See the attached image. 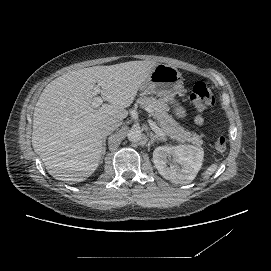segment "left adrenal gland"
<instances>
[{
  "label": "left adrenal gland",
  "mask_w": 271,
  "mask_h": 271,
  "mask_svg": "<svg viewBox=\"0 0 271 271\" xmlns=\"http://www.w3.org/2000/svg\"><path fill=\"white\" fill-rule=\"evenodd\" d=\"M165 139L162 137H158L157 135H154L152 132L150 133V144H153L155 141H164Z\"/></svg>",
  "instance_id": "obj_1"
}]
</instances>
